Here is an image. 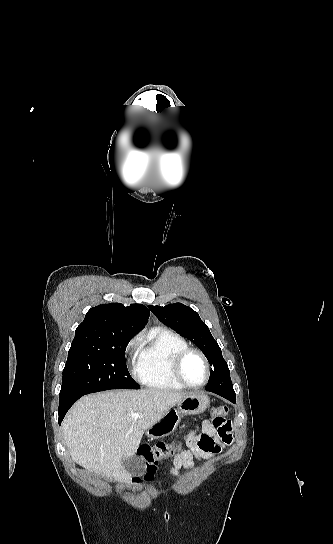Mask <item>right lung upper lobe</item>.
Segmentation results:
<instances>
[{
    "label": "right lung upper lobe",
    "instance_id": "1",
    "mask_svg": "<svg viewBox=\"0 0 333 544\" xmlns=\"http://www.w3.org/2000/svg\"><path fill=\"white\" fill-rule=\"evenodd\" d=\"M149 315V309L142 304L125 307L110 303L91 308L77 327L70 349H103L117 338L133 337L145 327Z\"/></svg>",
    "mask_w": 333,
    "mask_h": 544
}]
</instances>
